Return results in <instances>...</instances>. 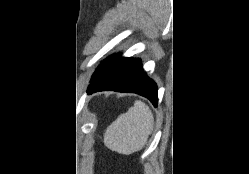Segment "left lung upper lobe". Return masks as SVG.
I'll list each match as a JSON object with an SVG mask.
<instances>
[{"label":"left lung upper lobe","mask_w":249,"mask_h":174,"mask_svg":"<svg viewBox=\"0 0 249 174\" xmlns=\"http://www.w3.org/2000/svg\"><path fill=\"white\" fill-rule=\"evenodd\" d=\"M111 58L112 56L104 60V62L100 64V66L97 68L96 72L93 75L97 74L110 61Z\"/></svg>","instance_id":"obj_1"}]
</instances>
